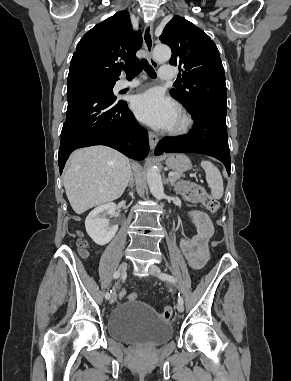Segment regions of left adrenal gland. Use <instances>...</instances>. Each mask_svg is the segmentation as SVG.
<instances>
[{
    "label": "left adrenal gland",
    "instance_id": "obj_1",
    "mask_svg": "<svg viewBox=\"0 0 291 381\" xmlns=\"http://www.w3.org/2000/svg\"><path fill=\"white\" fill-rule=\"evenodd\" d=\"M168 182H169V179H166V183L168 184Z\"/></svg>",
    "mask_w": 291,
    "mask_h": 381
}]
</instances>
